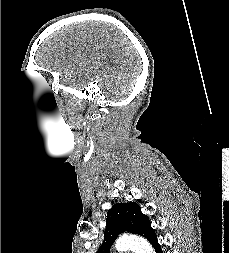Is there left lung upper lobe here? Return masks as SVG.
I'll list each match as a JSON object with an SVG mask.
<instances>
[{"label":"left lung upper lobe","instance_id":"1","mask_svg":"<svg viewBox=\"0 0 229 253\" xmlns=\"http://www.w3.org/2000/svg\"><path fill=\"white\" fill-rule=\"evenodd\" d=\"M124 231L143 236L151 244L157 241L148 216L141 212V207L133 202L116 203L107 212L104 241L97 253H109L117 236Z\"/></svg>","mask_w":229,"mask_h":253}]
</instances>
